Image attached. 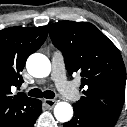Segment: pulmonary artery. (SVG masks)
I'll list each match as a JSON object with an SVG mask.
<instances>
[{
    "instance_id": "e3ab8cb5",
    "label": "pulmonary artery",
    "mask_w": 127,
    "mask_h": 127,
    "mask_svg": "<svg viewBox=\"0 0 127 127\" xmlns=\"http://www.w3.org/2000/svg\"><path fill=\"white\" fill-rule=\"evenodd\" d=\"M51 79L55 82L56 87L65 98L73 99L75 97L73 86L66 81L64 74V61L59 52H54L52 54Z\"/></svg>"
}]
</instances>
